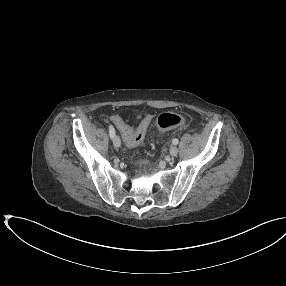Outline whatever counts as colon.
<instances>
[{
  "instance_id": "5ec220e1",
  "label": "colon",
  "mask_w": 286,
  "mask_h": 286,
  "mask_svg": "<svg viewBox=\"0 0 286 286\" xmlns=\"http://www.w3.org/2000/svg\"><path fill=\"white\" fill-rule=\"evenodd\" d=\"M185 122L184 116L177 113H163L156 121V127L159 131H166L181 126ZM149 124L142 122L137 127L136 131L126 138L128 147H135L140 145L147 134Z\"/></svg>"
}]
</instances>
